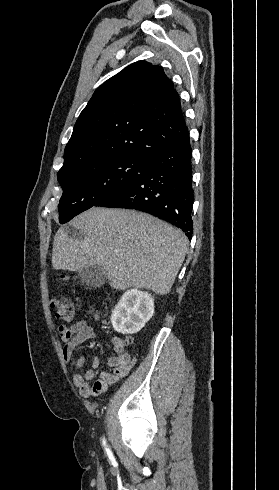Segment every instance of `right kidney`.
Here are the masks:
<instances>
[{"label": "right kidney", "mask_w": 279, "mask_h": 490, "mask_svg": "<svg viewBox=\"0 0 279 490\" xmlns=\"http://www.w3.org/2000/svg\"><path fill=\"white\" fill-rule=\"evenodd\" d=\"M154 314V300L137 288L126 290L112 310L111 324L119 334H137Z\"/></svg>", "instance_id": "1"}]
</instances>
